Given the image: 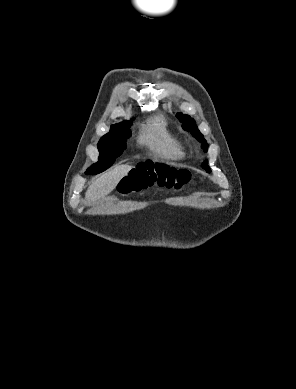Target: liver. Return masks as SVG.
Returning a JSON list of instances; mask_svg holds the SVG:
<instances>
[{"label":"liver","instance_id":"liver-1","mask_svg":"<svg viewBox=\"0 0 296 389\" xmlns=\"http://www.w3.org/2000/svg\"><path fill=\"white\" fill-rule=\"evenodd\" d=\"M131 169L130 165H119L95 179L85 193L86 202L93 203L107 196Z\"/></svg>","mask_w":296,"mask_h":389}]
</instances>
